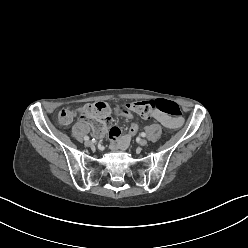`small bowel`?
Returning <instances> with one entry per match:
<instances>
[{
    "mask_svg": "<svg viewBox=\"0 0 248 248\" xmlns=\"http://www.w3.org/2000/svg\"><path fill=\"white\" fill-rule=\"evenodd\" d=\"M123 111H125V110H122V111L117 112V113L120 116H122ZM109 113H110V111H109ZM153 116H154L156 121H158L161 125H163L167 129H176V128H179L183 124L182 118H175V117H172V116H170L166 113L160 112V111H155L153 113ZM128 132L125 134H122L120 129L116 126L109 128L106 132V136L109 140H111L110 148L111 149H119V150L126 149L130 143L131 138H132L129 136Z\"/></svg>",
    "mask_w": 248,
    "mask_h": 248,
    "instance_id": "obj_1",
    "label": "small bowel"
}]
</instances>
